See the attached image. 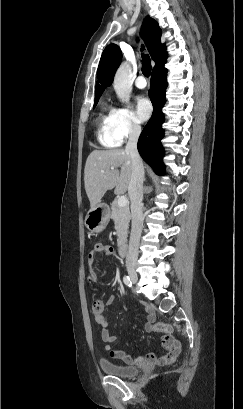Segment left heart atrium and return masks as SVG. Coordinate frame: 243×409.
<instances>
[{
    "label": "left heart atrium",
    "mask_w": 243,
    "mask_h": 409,
    "mask_svg": "<svg viewBox=\"0 0 243 409\" xmlns=\"http://www.w3.org/2000/svg\"><path fill=\"white\" fill-rule=\"evenodd\" d=\"M152 113V105L149 99L143 95L136 100L134 116L137 121L143 122L147 120Z\"/></svg>",
    "instance_id": "obj_1"
}]
</instances>
